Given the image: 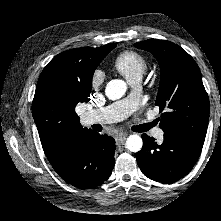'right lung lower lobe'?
I'll list each match as a JSON object with an SVG mask.
<instances>
[{
  "label": "right lung lower lobe",
  "mask_w": 221,
  "mask_h": 221,
  "mask_svg": "<svg viewBox=\"0 0 221 221\" xmlns=\"http://www.w3.org/2000/svg\"><path fill=\"white\" fill-rule=\"evenodd\" d=\"M115 149L112 137L94 131L75 132L46 156L67 183L86 189L109 178L115 164Z\"/></svg>",
  "instance_id": "right-lung-lower-lobe-1"
}]
</instances>
